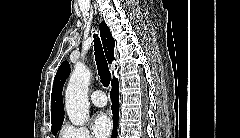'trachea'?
Wrapping results in <instances>:
<instances>
[{
	"label": "trachea",
	"instance_id": "obj_1",
	"mask_svg": "<svg viewBox=\"0 0 240 138\" xmlns=\"http://www.w3.org/2000/svg\"><path fill=\"white\" fill-rule=\"evenodd\" d=\"M94 50H95V61L98 69L100 80L104 87H108L111 80V74L109 71L108 63L104 55V51L101 42L96 34H94Z\"/></svg>",
	"mask_w": 240,
	"mask_h": 138
}]
</instances>
